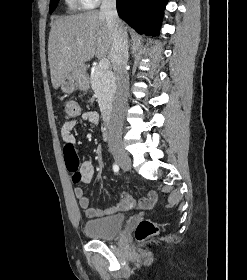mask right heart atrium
<instances>
[{"mask_svg": "<svg viewBox=\"0 0 247 280\" xmlns=\"http://www.w3.org/2000/svg\"><path fill=\"white\" fill-rule=\"evenodd\" d=\"M84 7H94L102 0H79Z\"/></svg>", "mask_w": 247, "mask_h": 280, "instance_id": "right-heart-atrium-1", "label": "right heart atrium"}]
</instances>
